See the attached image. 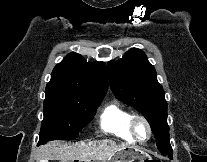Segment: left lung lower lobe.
Segmentation results:
<instances>
[{
  "instance_id": "obj_1",
  "label": "left lung lower lobe",
  "mask_w": 207,
  "mask_h": 162,
  "mask_svg": "<svg viewBox=\"0 0 207 162\" xmlns=\"http://www.w3.org/2000/svg\"><path fill=\"white\" fill-rule=\"evenodd\" d=\"M168 156H169V158L172 160V153H166ZM165 154V155H166Z\"/></svg>"
}]
</instances>
